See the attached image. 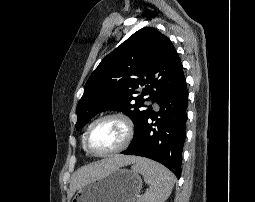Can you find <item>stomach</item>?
Instances as JSON below:
<instances>
[{
	"instance_id": "0dacf381",
	"label": "stomach",
	"mask_w": 255,
	"mask_h": 202,
	"mask_svg": "<svg viewBox=\"0 0 255 202\" xmlns=\"http://www.w3.org/2000/svg\"><path fill=\"white\" fill-rule=\"evenodd\" d=\"M141 189L137 172L117 168L80 186L71 202H136Z\"/></svg>"
}]
</instances>
